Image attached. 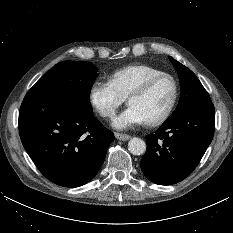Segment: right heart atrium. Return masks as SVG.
I'll return each instance as SVG.
<instances>
[{"label": "right heart atrium", "instance_id": "obj_1", "mask_svg": "<svg viewBox=\"0 0 233 233\" xmlns=\"http://www.w3.org/2000/svg\"><path fill=\"white\" fill-rule=\"evenodd\" d=\"M89 99L94 109L104 118L111 119L125 102L123 96L110 80H95L89 90Z\"/></svg>", "mask_w": 233, "mask_h": 233}]
</instances>
